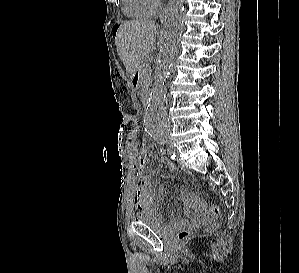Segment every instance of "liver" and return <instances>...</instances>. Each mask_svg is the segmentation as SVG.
<instances>
[{"label":"liver","mask_w":299,"mask_h":273,"mask_svg":"<svg viewBox=\"0 0 299 273\" xmlns=\"http://www.w3.org/2000/svg\"><path fill=\"white\" fill-rule=\"evenodd\" d=\"M157 25L154 21H126L118 28L115 45L130 77L155 49Z\"/></svg>","instance_id":"liver-1"}]
</instances>
